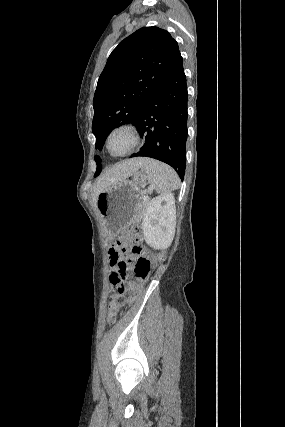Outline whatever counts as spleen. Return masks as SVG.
Here are the masks:
<instances>
[{"label":"spleen","instance_id":"3e777b00","mask_svg":"<svg viewBox=\"0 0 285 427\" xmlns=\"http://www.w3.org/2000/svg\"><path fill=\"white\" fill-rule=\"evenodd\" d=\"M141 169L147 175L151 187L157 193L167 194L180 186L177 173L167 164L153 159H146Z\"/></svg>","mask_w":285,"mask_h":427}]
</instances>
